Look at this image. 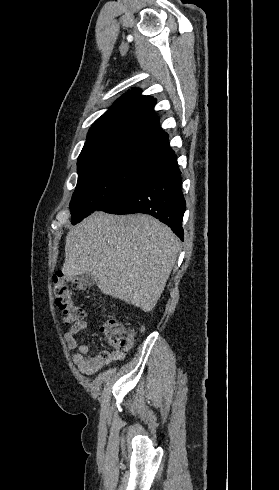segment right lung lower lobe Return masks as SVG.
Instances as JSON below:
<instances>
[{
	"label": "right lung lower lobe",
	"mask_w": 279,
	"mask_h": 490,
	"mask_svg": "<svg viewBox=\"0 0 279 490\" xmlns=\"http://www.w3.org/2000/svg\"><path fill=\"white\" fill-rule=\"evenodd\" d=\"M181 185V171L173 151L157 162L155 170L148 176L110 194L97 210L113 214L152 215L183 240L182 219L186 202Z\"/></svg>",
	"instance_id": "1"
}]
</instances>
